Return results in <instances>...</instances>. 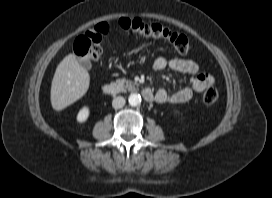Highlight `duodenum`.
Wrapping results in <instances>:
<instances>
[{
  "instance_id": "1",
  "label": "duodenum",
  "mask_w": 272,
  "mask_h": 198,
  "mask_svg": "<svg viewBox=\"0 0 272 198\" xmlns=\"http://www.w3.org/2000/svg\"><path fill=\"white\" fill-rule=\"evenodd\" d=\"M102 91L105 95L108 96H115L121 92L120 87L112 84V83H107L103 85ZM142 96L147 102H152L154 100V94L151 91V89L145 87L142 89Z\"/></svg>"
}]
</instances>
